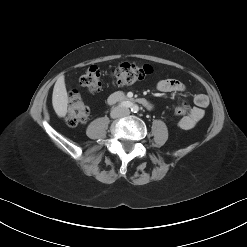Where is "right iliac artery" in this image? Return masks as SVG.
I'll list each match as a JSON object with an SVG mask.
<instances>
[{"instance_id": "right-iliac-artery-1", "label": "right iliac artery", "mask_w": 247, "mask_h": 247, "mask_svg": "<svg viewBox=\"0 0 247 247\" xmlns=\"http://www.w3.org/2000/svg\"><path fill=\"white\" fill-rule=\"evenodd\" d=\"M120 106L126 107V108H133V104L129 101H123L120 103Z\"/></svg>"}]
</instances>
